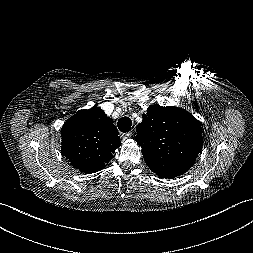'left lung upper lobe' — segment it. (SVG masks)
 Listing matches in <instances>:
<instances>
[{
    "label": "left lung upper lobe",
    "instance_id": "5c2ea615",
    "mask_svg": "<svg viewBox=\"0 0 253 253\" xmlns=\"http://www.w3.org/2000/svg\"><path fill=\"white\" fill-rule=\"evenodd\" d=\"M136 128V141L148 167L172 179L188 171L202 150L200 122L182 108L151 105Z\"/></svg>",
    "mask_w": 253,
    "mask_h": 253
}]
</instances>
